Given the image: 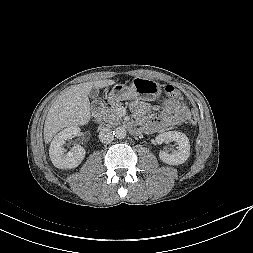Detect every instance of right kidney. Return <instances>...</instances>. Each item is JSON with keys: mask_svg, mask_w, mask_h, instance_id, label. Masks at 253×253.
<instances>
[{"mask_svg": "<svg viewBox=\"0 0 253 253\" xmlns=\"http://www.w3.org/2000/svg\"><path fill=\"white\" fill-rule=\"evenodd\" d=\"M80 132L76 126H70L58 133L51 142L49 155L53 165L59 169H72L77 167L85 157V149L79 145L74 146L65 153L63 145Z\"/></svg>", "mask_w": 253, "mask_h": 253, "instance_id": "right-kidney-1", "label": "right kidney"}]
</instances>
